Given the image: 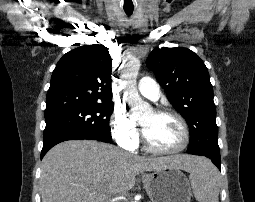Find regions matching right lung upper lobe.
<instances>
[{
    "label": "right lung upper lobe",
    "mask_w": 255,
    "mask_h": 202,
    "mask_svg": "<svg viewBox=\"0 0 255 202\" xmlns=\"http://www.w3.org/2000/svg\"><path fill=\"white\" fill-rule=\"evenodd\" d=\"M111 66L103 45L81 46L66 53L53 71L45 114L85 104L113 103Z\"/></svg>",
    "instance_id": "obj_1"
}]
</instances>
